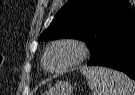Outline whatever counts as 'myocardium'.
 Instances as JSON below:
<instances>
[{
    "label": "myocardium",
    "instance_id": "myocardium-1",
    "mask_svg": "<svg viewBox=\"0 0 135 95\" xmlns=\"http://www.w3.org/2000/svg\"><path fill=\"white\" fill-rule=\"evenodd\" d=\"M63 45L70 46V47L75 49V51L77 53L75 59L72 62H70L69 64H67V65H65L61 68H58V69L47 68L46 58H47L48 54L50 53V51L53 50L54 48L58 47V46H63ZM88 53H89L88 47L81 40L76 39V38H62V39L54 41L46 49V51H45V53L42 57V66L48 72L60 73V72L69 70V69L79 65L80 63H82L86 59V57L88 56Z\"/></svg>",
    "mask_w": 135,
    "mask_h": 95
}]
</instances>
